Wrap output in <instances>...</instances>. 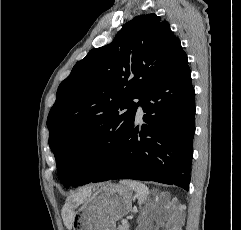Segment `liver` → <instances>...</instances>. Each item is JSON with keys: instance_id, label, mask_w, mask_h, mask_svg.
Listing matches in <instances>:
<instances>
[{"instance_id": "obj_1", "label": "liver", "mask_w": 241, "mask_h": 230, "mask_svg": "<svg viewBox=\"0 0 241 230\" xmlns=\"http://www.w3.org/2000/svg\"><path fill=\"white\" fill-rule=\"evenodd\" d=\"M75 213L73 210H67V213L63 215V221L68 230H71L73 225Z\"/></svg>"}]
</instances>
